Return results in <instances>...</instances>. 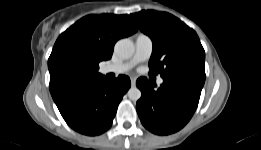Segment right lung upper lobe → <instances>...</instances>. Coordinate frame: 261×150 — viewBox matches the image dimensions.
<instances>
[{
    "instance_id": "obj_1",
    "label": "right lung upper lobe",
    "mask_w": 261,
    "mask_h": 150,
    "mask_svg": "<svg viewBox=\"0 0 261 150\" xmlns=\"http://www.w3.org/2000/svg\"><path fill=\"white\" fill-rule=\"evenodd\" d=\"M138 30L128 15H88L77 21L55 42L48 60L50 92L53 99L105 76L99 62L108 60L120 38Z\"/></svg>"
}]
</instances>
